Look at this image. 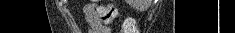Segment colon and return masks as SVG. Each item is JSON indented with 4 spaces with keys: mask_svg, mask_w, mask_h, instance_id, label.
<instances>
[{
    "mask_svg": "<svg viewBox=\"0 0 235 33\" xmlns=\"http://www.w3.org/2000/svg\"><path fill=\"white\" fill-rule=\"evenodd\" d=\"M98 11L105 23H111L117 16V10L111 4L100 7ZM122 28L124 33H137L135 22L132 19H126Z\"/></svg>",
    "mask_w": 235,
    "mask_h": 33,
    "instance_id": "1",
    "label": "colon"
}]
</instances>
